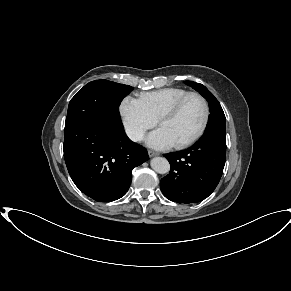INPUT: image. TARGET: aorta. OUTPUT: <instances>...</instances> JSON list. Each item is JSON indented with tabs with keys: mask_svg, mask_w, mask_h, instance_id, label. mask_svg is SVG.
Listing matches in <instances>:
<instances>
[{
	"mask_svg": "<svg viewBox=\"0 0 291 291\" xmlns=\"http://www.w3.org/2000/svg\"><path fill=\"white\" fill-rule=\"evenodd\" d=\"M151 168L159 173V174H166L170 170V164L168 160L164 157H155L150 162Z\"/></svg>",
	"mask_w": 291,
	"mask_h": 291,
	"instance_id": "obj_1",
	"label": "aorta"
}]
</instances>
